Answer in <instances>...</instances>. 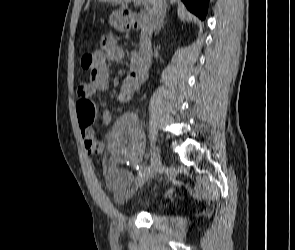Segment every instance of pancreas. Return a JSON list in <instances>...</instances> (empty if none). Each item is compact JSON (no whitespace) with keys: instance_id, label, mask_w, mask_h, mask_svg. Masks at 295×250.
<instances>
[{"instance_id":"1","label":"pancreas","mask_w":295,"mask_h":250,"mask_svg":"<svg viewBox=\"0 0 295 250\" xmlns=\"http://www.w3.org/2000/svg\"><path fill=\"white\" fill-rule=\"evenodd\" d=\"M144 48V35L141 34L140 35V49H143Z\"/></svg>"}]
</instances>
